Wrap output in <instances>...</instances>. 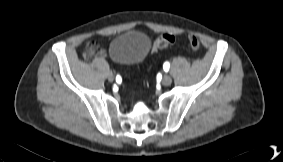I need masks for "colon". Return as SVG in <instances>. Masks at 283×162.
I'll return each instance as SVG.
<instances>
[{
    "label": "colon",
    "mask_w": 283,
    "mask_h": 162,
    "mask_svg": "<svg viewBox=\"0 0 283 162\" xmlns=\"http://www.w3.org/2000/svg\"><path fill=\"white\" fill-rule=\"evenodd\" d=\"M174 42H175L174 35L165 33L155 39L153 43V49L155 51H158L171 46ZM188 43L192 49H198L200 46L198 38L194 35H190L188 37Z\"/></svg>",
    "instance_id": "obj_1"
}]
</instances>
